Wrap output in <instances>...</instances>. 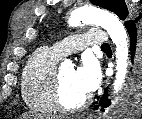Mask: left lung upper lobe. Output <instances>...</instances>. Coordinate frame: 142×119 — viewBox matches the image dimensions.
<instances>
[{
    "instance_id": "obj_1",
    "label": "left lung upper lobe",
    "mask_w": 142,
    "mask_h": 119,
    "mask_svg": "<svg viewBox=\"0 0 142 119\" xmlns=\"http://www.w3.org/2000/svg\"><path fill=\"white\" fill-rule=\"evenodd\" d=\"M91 2L94 5L114 12L121 20H125V23L132 20H126L128 16V10L123 0H91Z\"/></svg>"
}]
</instances>
